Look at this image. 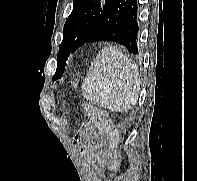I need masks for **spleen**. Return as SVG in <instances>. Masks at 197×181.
I'll return each mask as SVG.
<instances>
[{
	"instance_id": "1",
	"label": "spleen",
	"mask_w": 197,
	"mask_h": 181,
	"mask_svg": "<svg viewBox=\"0 0 197 181\" xmlns=\"http://www.w3.org/2000/svg\"><path fill=\"white\" fill-rule=\"evenodd\" d=\"M139 86L137 67L119 49L109 46L91 63L82 92L94 105L123 112L136 104Z\"/></svg>"
}]
</instances>
